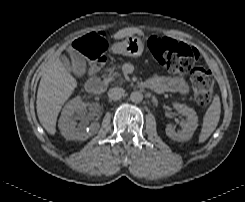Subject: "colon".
<instances>
[{
    "label": "colon",
    "instance_id": "1",
    "mask_svg": "<svg viewBox=\"0 0 245 202\" xmlns=\"http://www.w3.org/2000/svg\"><path fill=\"white\" fill-rule=\"evenodd\" d=\"M108 43L109 39L103 32H93L71 42L67 49L73 55L86 56L89 60L88 68L99 69L107 61ZM148 49L160 65L175 73L192 70L199 57L196 48L164 38H151ZM191 80L195 101L202 107L208 106L214 88L212 75L206 70L194 69L191 72Z\"/></svg>",
    "mask_w": 245,
    "mask_h": 202
}]
</instances>
